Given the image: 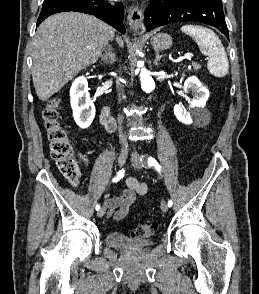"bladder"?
<instances>
[{"instance_id":"1","label":"bladder","mask_w":259,"mask_h":294,"mask_svg":"<svg viewBox=\"0 0 259 294\" xmlns=\"http://www.w3.org/2000/svg\"><path fill=\"white\" fill-rule=\"evenodd\" d=\"M105 242L107 245L128 252L142 251L152 245L149 239L141 237H131L121 232H110L106 235Z\"/></svg>"}]
</instances>
